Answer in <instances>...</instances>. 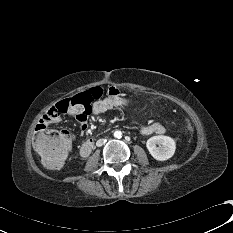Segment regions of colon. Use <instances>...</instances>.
Segmentation results:
<instances>
[{
  "label": "colon",
  "mask_w": 233,
  "mask_h": 233,
  "mask_svg": "<svg viewBox=\"0 0 233 233\" xmlns=\"http://www.w3.org/2000/svg\"><path fill=\"white\" fill-rule=\"evenodd\" d=\"M101 86H93L79 94L60 102L62 109L73 108L79 111H88L92 104L104 95ZM188 133L193 127L189 121L185 122ZM33 146L39 154L41 161L49 168L61 167L69 157L72 149V139L68 131H52L37 127L33 136Z\"/></svg>",
  "instance_id": "1"
}]
</instances>
